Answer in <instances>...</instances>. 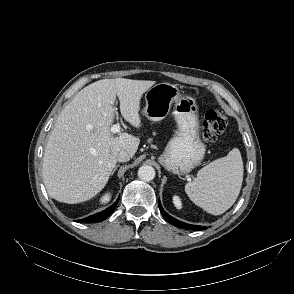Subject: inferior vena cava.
I'll list each match as a JSON object with an SVG mask.
<instances>
[{"label": "inferior vena cava", "mask_w": 294, "mask_h": 294, "mask_svg": "<svg viewBox=\"0 0 294 294\" xmlns=\"http://www.w3.org/2000/svg\"><path fill=\"white\" fill-rule=\"evenodd\" d=\"M131 158H132V156H131L128 152H126V151H124V150L120 151V152L117 154V156H116V160L119 161V162H127V161H129Z\"/></svg>", "instance_id": "obj_1"}]
</instances>
